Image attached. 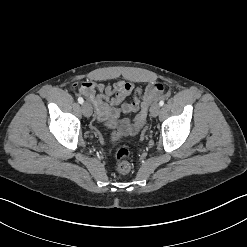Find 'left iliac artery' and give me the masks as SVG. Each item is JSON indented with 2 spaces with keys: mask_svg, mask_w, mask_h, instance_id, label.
Wrapping results in <instances>:
<instances>
[{
  "mask_svg": "<svg viewBox=\"0 0 247 247\" xmlns=\"http://www.w3.org/2000/svg\"><path fill=\"white\" fill-rule=\"evenodd\" d=\"M159 105H160V106H163V105H164V101L161 100V101L159 102Z\"/></svg>",
  "mask_w": 247,
  "mask_h": 247,
  "instance_id": "44dca946",
  "label": "left iliac artery"
}]
</instances>
